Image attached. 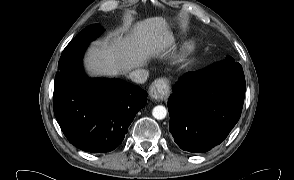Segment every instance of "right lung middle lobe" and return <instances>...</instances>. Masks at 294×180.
I'll list each match as a JSON object with an SVG mask.
<instances>
[{
    "mask_svg": "<svg viewBox=\"0 0 294 180\" xmlns=\"http://www.w3.org/2000/svg\"><path fill=\"white\" fill-rule=\"evenodd\" d=\"M103 32V28L98 25H90L83 29L63 50L67 52L71 49L88 45L92 40L96 39Z\"/></svg>",
    "mask_w": 294,
    "mask_h": 180,
    "instance_id": "1",
    "label": "right lung middle lobe"
}]
</instances>
